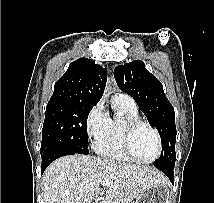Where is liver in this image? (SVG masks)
Segmentation results:
<instances>
[{"label": "liver", "instance_id": "6515ba94", "mask_svg": "<svg viewBox=\"0 0 214 203\" xmlns=\"http://www.w3.org/2000/svg\"><path fill=\"white\" fill-rule=\"evenodd\" d=\"M112 181L106 191L102 181ZM165 176L150 167L94 156H64L52 162L42 178L44 203H92L96 195L132 203L147 188L165 183Z\"/></svg>", "mask_w": 214, "mask_h": 203}]
</instances>
